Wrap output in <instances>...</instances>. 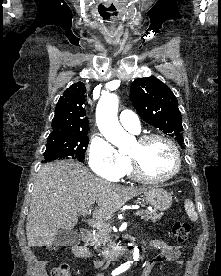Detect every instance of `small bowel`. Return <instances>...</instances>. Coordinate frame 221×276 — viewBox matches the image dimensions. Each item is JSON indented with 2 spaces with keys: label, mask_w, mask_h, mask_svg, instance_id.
I'll return each mask as SVG.
<instances>
[{
  "label": "small bowel",
  "mask_w": 221,
  "mask_h": 276,
  "mask_svg": "<svg viewBox=\"0 0 221 276\" xmlns=\"http://www.w3.org/2000/svg\"><path fill=\"white\" fill-rule=\"evenodd\" d=\"M152 246L158 248L160 253L156 255L154 258L150 259L146 262L142 276H149L152 269L158 262L164 261H172L178 263L179 267H183V262L181 261V250L178 246H170L167 245L163 241L155 240L151 243ZM74 254L76 257L81 259H89L91 258L90 251L83 246H76L73 249ZM94 265L97 269H100L103 265L101 260H94ZM98 276H102V274H98Z\"/></svg>",
  "instance_id": "1"
}]
</instances>
